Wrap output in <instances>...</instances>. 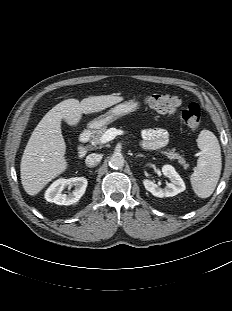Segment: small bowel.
Returning <instances> with one entry per match:
<instances>
[{"label": "small bowel", "instance_id": "1", "mask_svg": "<svg viewBox=\"0 0 232 311\" xmlns=\"http://www.w3.org/2000/svg\"><path fill=\"white\" fill-rule=\"evenodd\" d=\"M142 146L154 150L163 147L168 141V132L162 128H148L142 132Z\"/></svg>", "mask_w": 232, "mask_h": 311}]
</instances>
